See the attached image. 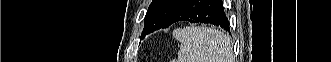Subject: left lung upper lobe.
Returning a JSON list of instances; mask_svg holds the SVG:
<instances>
[{"mask_svg":"<svg viewBox=\"0 0 331 62\" xmlns=\"http://www.w3.org/2000/svg\"><path fill=\"white\" fill-rule=\"evenodd\" d=\"M185 0H153L146 16L143 31L153 32L162 28L170 16Z\"/></svg>","mask_w":331,"mask_h":62,"instance_id":"obj_1","label":"left lung upper lobe"}]
</instances>
